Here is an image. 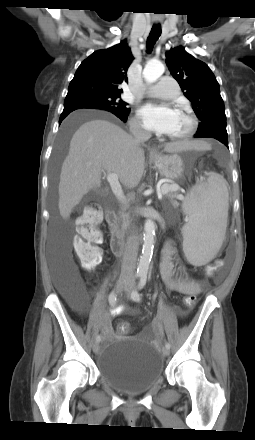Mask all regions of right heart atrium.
I'll list each match as a JSON object with an SVG mask.
<instances>
[{"mask_svg":"<svg viewBox=\"0 0 255 440\" xmlns=\"http://www.w3.org/2000/svg\"><path fill=\"white\" fill-rule=\"evenodd\" d=\"M130 127H131V130L136 133H140V132L144 131V127H143L141 121L137 117L132 119Z\"/></svg>","mask_w":255,"mask_h":440,"instance_id":"right-heart-atrium-1","label":"right heart atrium"}]
</instances>
